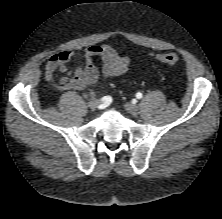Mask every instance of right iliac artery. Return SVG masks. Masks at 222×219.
<instances>
[{
	"instance_id": "1",
	"label": "right iliac artery",
	"mask_w": 222,
	"mask_h": 219,
	"mask_svg": "<svg viewBox=\"0 0 222 219\" xmlns=\"http://www.w3.org/2000/svg\"><path fill=\"white\" fill-rule=\"evenodd\" d=\"M101 100L105 103H110L112 102V98L110 96H105V97H102Z\"/></svg>"
}]
</instances>
